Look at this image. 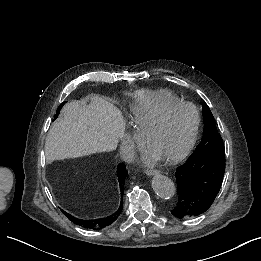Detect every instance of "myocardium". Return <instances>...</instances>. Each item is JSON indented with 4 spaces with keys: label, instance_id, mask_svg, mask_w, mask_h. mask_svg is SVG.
I'll return each mask as SVG.
<instances>
[{
    "label": "myocardium",
    "instance_id": "myocardium-1",
    "mask_svg": "<svg viewBox=\"0 0 261 261\" xmlns=\"http://www.w3.org/2000/svg\"><path fill=\"white\" fill-rule=\"evenodd\" d=\"M175 108H183V109H188L189 111H191V113L193 114V125H192L191 131L189 133V136H188L186 142L177 152H175L167 157H164V158L157 157L158 160H160L161 162H164V163H172V162L182 159L194 145L197 135H198L199 127L201 124V115H200L199 111L197 110V108L194 105L187 103V102L169 103V104H166L164 107H162L158 112L150 114V115H145V116L141 117L140 119H138L136 122L137 123L136 132H137L140 140L142 141V139H141L142 128L149 123L159 120L165 113H167L168 111L175 109Z\"/></svg>",
    "mask_w": 261,
    "mask_h": 261
}]
</instances>
